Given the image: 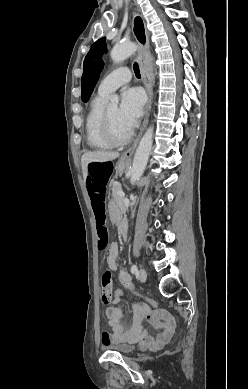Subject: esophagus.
<instances>
[{
	"instance_id": "34e87169",
	"label": "esophagus",
	"mask_w": 248,
	"mask_h": 389,
	"mask_svg": "<svg viewBox=\"0 0 248 389\" xmlns=\"http://www.w3.org/2000/svg\"><path fill=\"white\" fill-rule=\"evenodd\" d=\"M133 34L135 36V39L137 43L139 44L140 51L138 53V60L141 64V67L145 70L146 75L144 77V84L147 90L148 94V102L146 106V112H145V118L143 121L142 128L140 130L139 136L135 140V142L132 144L131 147H129L120 157V160L122 161H129L138 145V142L147 126L150 111H151V105H152V97H153V75L151 72V69L149 67V34L146 29V25L144 22L143 17L136 13L133 16Z\"/></svg>"
}]
</instances>
